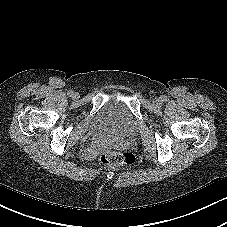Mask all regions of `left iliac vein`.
I'll use <instances>...</instances> for the list:
<instances>
[{
	"mask_svg": "<svg viewBox=\"0 0 227 227\" xmlns=\"http://www.w3.org/2000/svg\"><path fill=\"white\" fill-rule=\"evenodd\" d=\"M153 103H154L155 106H160L162 104V101H161L160 98H155L153 100Z\"/></svg>",
	"mask_w": 227,
	"mask_h": 227,
	"instance_id": "4c4485c4",
	"label": "left iliac vein"
}]
</instances>
